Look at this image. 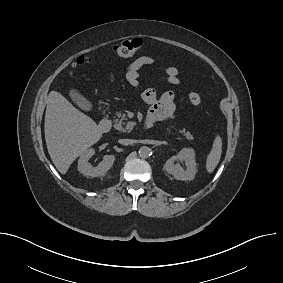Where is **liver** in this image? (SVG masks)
I'll list each match as a JSON object with an SVG mask.
<instances>
[{
  "mask_svg": "<svg viewBox=\"0 0 283 283\" xmlns=\"http://www.w3.org/2000/svg\"><path fill=\"white\" fill-rule=\"evenodd\" d=\"M44 132L48 153L61 174L102 137L97 124L57 91L48 96Z\"/></svg>",
  "mask_w": 283,
  "mask_h": 283,
  "instance_id": "obj_1",
  "label": "liver"
}]
</instances>
